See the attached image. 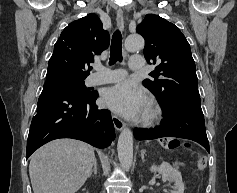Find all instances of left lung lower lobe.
<instances>
[{
	"label": "left lung lower lobe",
	"mask_w": 237,
	"mask_h": 193,
	"mask_svg": "<svg viewBox=\"0 0 237 193\" xmlns=\"http://www.w3.org/2000/svg\"><path fill=\"white\" fill-rule=\"evenodd\" d=\"M137 140H152L162 137H178L193 140L209 152L201 105H182L176 109H165L157 129H134Z\"/></svg>",
	"instance_id": "1"
}]
</instances>
